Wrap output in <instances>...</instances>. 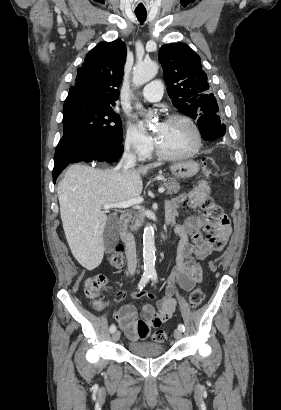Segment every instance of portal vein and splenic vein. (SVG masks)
<instances>
[{
	"mask_svg": "<svg viewBox=\"0 0 281 410\" xmlns=\"http://www.w3.org/2000/svg\"><path fill=\"white\" fill-rule=\"evenodd\" d=\"M159 193H164L165 192V188L164 187H160L158 189ZM144 201V199L142 197H137L128 201H124V202H120V203H115V204H105L102 209L104 210H109L110 208H128V207H135L138 206L139 204H141Z\"/></svg>",
	"mask_w": 281,
	"mask_h": 410,
	"instance_id": "portal-vein-and-splenic-vein-1",
	"label": "portal vein and splenic vein"
}]
</instances>
